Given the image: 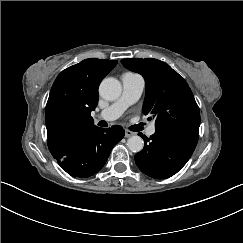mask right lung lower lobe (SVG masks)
<instances>
[{
    "mask_svg": "<svg viewBox=\"0 0 243 243\" xmlns=\"http://www.w3.org/2000/svg\"><path fill=\"white\" fill-rule=\"evenodd\" d=\"M121 126L92 127L71 139L53 156L69 175L87 178L106 163L110 152L123 137Z\"/></svg>",
    "mask_w": 243,
    "mask_h": 243,
    "instance_id": "98d812e1",
    "label": "right lung lower lobe"
}]
</instances>
